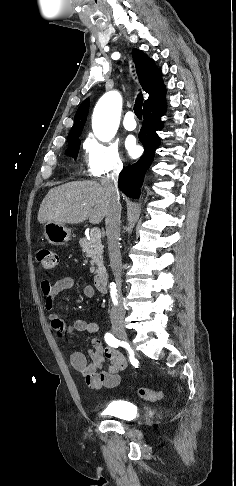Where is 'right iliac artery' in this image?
<instances>
[{"label":"right iliac artery","mask_w":236,"mask_h":486,"mask_svg":"<svg viewBox=\"0 0 236 486\" xmlns=\"http://www.w3.org/2000/svg\"><path fill=\"white\" fill-rule=\"evenodd\" d=\"M105 341L109 346L114 348H117L119 345V340L116 337H114L111 333L105 334Z\"/></svg>","instance_id":"right-iliac-artery-1"}]
</instances>
